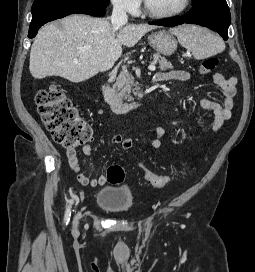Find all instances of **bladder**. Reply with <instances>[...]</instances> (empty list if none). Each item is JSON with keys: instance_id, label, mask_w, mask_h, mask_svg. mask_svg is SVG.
Segmentation results:
<instances>
[{"instance_id": "1", "label": "bladder", "mask_w": 255, "mask_h": 272, "mask_svg": "<svg viewBox=\"0 0 255 272\" xmlns=\"http://www.w3.org/2000/svg\"><path fill=\"white\" fill-rule=\"evenodd\" d=\"M95 203L111 213H123L132 208L134 193L127 185L105 186L98 191Z\"/></svg>"}]
</instances>
